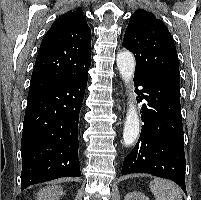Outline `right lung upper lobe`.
<instances>
[{
    "instance_id": "cb5924a9",
    "label": "right lung upper lobe",
    "mask_w": 201,
    "mask_h": 200,
    "mask_svg": "<svg viewBox=\"0 0 201 200\" xmlns=\"http://www.w3.org/2000/svg\"><path fill=\"white\" fill-rule=\"evenodd\" d=\"M90 37L81 8L60 16L42 40L29 93L53 88L81 75L91 65Z\"/></svg>"
}]
</instances>
